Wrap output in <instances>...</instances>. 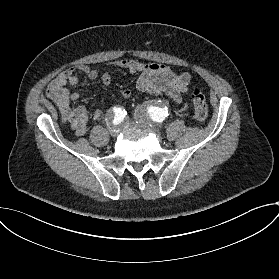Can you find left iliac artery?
<instances>
[{"label": "left iliac artery", "mask_w": 279, "mask_h": 279, "mask_svg": "<svg viewBox=\"0 0 279 279\" xmlns=\"http://www.w3.org/2000/svg\"><path fill=\"white\" fill-rule=\"evenodd\" d=\"M151 112V118L153 119V121L155 122H160L162 123L163 120L165 119V117H167L168 114V110L167 109H161V108H152L150 110Z\"/></svg>", "instance_id": "1"}]
</instances>
